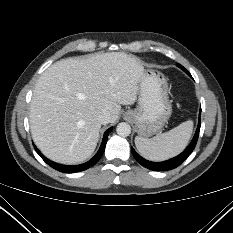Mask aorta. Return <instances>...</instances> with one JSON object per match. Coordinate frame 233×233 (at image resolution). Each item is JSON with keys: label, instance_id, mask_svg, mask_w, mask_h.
Masks as SVG:
<instances>
[{"label": "aorta", "instance_id": "762f6f07", "mask_svg": "<svg viewBox=\"0 0 233 233\" xmlns=\"http://www.w3.org/2000/svg\"><path fill=\"white\" fill-rule=\"evenodd\" d=\"M116 131L118 135L127 137L131 133V127L128 123L122 122L117 125Z\"/></svg>", "mask_w": 233, "mask_h": 233}]
</instances>
